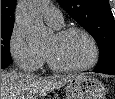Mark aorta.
I'll list each match as a JSON object with an SVG mask.
<instances>
[{"mask_svg": "<svg viewBox=\"0 0 115 99\" xmlns=\"http://www.w3.org/2000/svg\"><path fill=\"white\" fill-rule=\"evenodd\" d=\"M47 0H27L18 5L16 20L30 47L43 46L49 32L42 22V11Z\"/></svg>", "mask_w": 115, "mask_h": 99, "instance_id": "762f6f07", "label": "aorta"}]
</instances>
